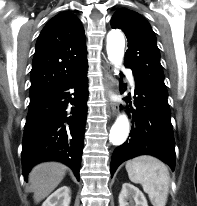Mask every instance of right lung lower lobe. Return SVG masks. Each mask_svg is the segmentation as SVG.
I'll list each match as a JSON object with an SVG mask.
<instances>
[{"instance_id": "98d812e1", "label": "right lung lower lobe", "mask_w": 197, "mask_h": 206, "mask_svg": "<svg viewBox=\"0 0 197 206\" xmlns=\"http://www.w3.org/2000/svg\"><path fill=\"white\" fill-rule=\"evenodd\" d=\"M87 67L86 64L60 85L30 102L22 143L25 179L35 164L48 160L65 163L80 179L87 116Z\"/></svg>"}]
</instances>
